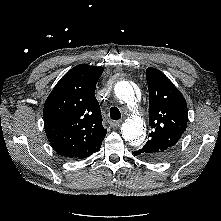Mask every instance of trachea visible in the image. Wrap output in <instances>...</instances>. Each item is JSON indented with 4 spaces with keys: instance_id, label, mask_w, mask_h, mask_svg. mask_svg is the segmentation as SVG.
Wrapping results in <instances>:
<instances>
[{
    "instance_id": "trachea-1",
    "label": "trachea",
    "mask_w": 221,
    "mask_h": 221,
    "mask_svg": "<svg viewBox=\"0 0 221 221\" xmlns=\"http://www.w3.org/2000/svg\"><path fill=\"white\" fill-rule=\"evenodd\" d=\"M110 117L113 120H119L121 118V113L117 107L110 108Z\"/></svg>"
}]
</instances>
